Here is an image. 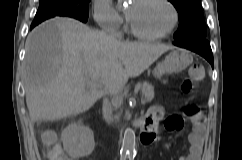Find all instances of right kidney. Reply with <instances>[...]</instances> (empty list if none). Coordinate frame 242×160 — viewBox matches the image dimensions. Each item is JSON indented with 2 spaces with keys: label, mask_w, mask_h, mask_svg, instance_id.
Segmentation results:
<instances>
[{
  "label": "right kidney",
  "mask_w": 242,
  "mask_h": 160,
  "mask_svg": "<svg viewBox=\"0 0 242 160\" xmlns=\"http://www.w3.org/2000/svg\"><path fill=\"white\" fill-rule=\"evenodd\" d=\"M64 150L72 158H81L92 153L95 147L92 130L80 124H70L61 133Z\"/></svg>",
  "instance_id": "ca27d5eb"
}]
</instances>
